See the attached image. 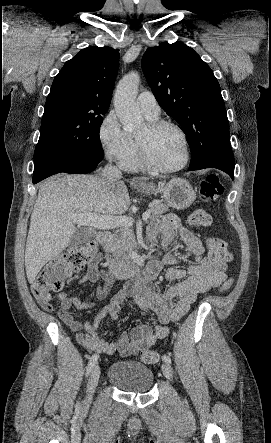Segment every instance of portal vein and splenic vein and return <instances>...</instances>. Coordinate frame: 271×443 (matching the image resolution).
Here are the masks:
<instances>
[{
    "label": "portal vein and splenic vein",
    "mask_w": 271,
    "mask_h": 443,
    "mask_svg": "<svg viewBox=\"0 0 271 443\" xmlns=\"http://www.w3.org/2000/svg\"><path fill=\"white\" fill-rule=\"evenodd\" d=\"M151 212H145L142 216V220L146 222L150 218ZM73 222L78 225H92V227H98V229H110V227H131L133 225V218H127V216H113V218H104V216H98V214H77V216H71Z\"/></svg>",
    "instance_id": "obj_1"
}]
</instances>
